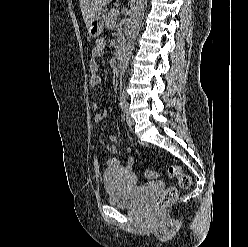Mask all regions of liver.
<instances>
[{
  "label": "liver",
  "mask_w": 248,
  "mask_h": 247,
  "mask_svg": "<svg viewBox=\"0 0 248 247\" xmlns=\"http://www.w3.org/2000/svg\"><path fill=\"white\" fill-rule=\"evenodd\" d=\"M112 0H79L82 16L86 26L97 13L103 11V7Z\"/></svg>",
  "instance_id": "obj_1"
}]
</instances>
